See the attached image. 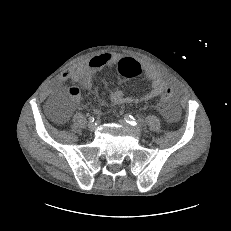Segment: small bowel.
<instances>
[{"mask_svg": "<svg viewBox=\"0 0 231 231\" xmlns=\"http://www.w3.org/2000/svg\"><path fill=\"white\" fill-rule=\"evenodd\" d=\"M122 59V56L117 53H102L96 55L89 60L65 70L59 80L54 84V89H59L63 81L71 80L79 83L85 89H91L98 72L106 67L117 64ZM134 60V59H133ZM139 63V62H138ZM144 72V77L151 85L148 93L144 96L136 98L128 96L122 91L116 90L110 94V101L116 105H127L132 103H139L153 99L163 93V88L166 85H171V81L163 76V74L149 64H141ZM70 96L78 103L81 100V92L77 87L69 88ZM172 97V96H171ZM101 104L105 102L102 100ZM161 114L170 122H176L179 117V107L176 103H170L160 109Z\"/></svg>", "mask_w": 231, "mask_h": 231, "instance_id": "small-bowel-1", "label": "small bowel"}]
</instances>
